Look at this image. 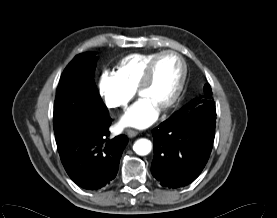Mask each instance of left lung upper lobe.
Returning a JSON list of instances; mask_svg holds the SVG:
<instances>
[{"mask_svg":"<svg viewBox=\"0 0 277 218\" xmlns=\"http://www.w3.org/2000/svg\"><path fill=\"white\" fill-rule=\"evenodd\" d=\"M216 110L215 102L212 96V90L209 84L204 85V94L193 99L186 106L175 112L172 116L180 114H188L195 111Z\"/></svg>","mask_w":277,"mask_h":218,"instance_id":"obj_1","label":"left lung upper lobe"}]
</instances>
